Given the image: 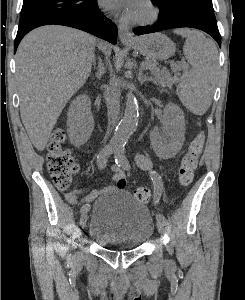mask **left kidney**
Listing matches in <instances>:
<instances>
[{
	"label": "left kidney",
	"instance_id": "5707ae66",
	"mask_svg": "<svg viewBox=\"0 0 245 300\" xmlns=\"http://www.w3.org/2000/svg\"><path fill=\"white\" fill-rule=\"evenodd\" d=\"M184 135V113L174 103H168L164 108L162 128L151 132L155 151L165 157L176 155L183 145Z\"/></svg>",
	"mask_w": 245,
	"mask_h": 300
}]
</instances>
